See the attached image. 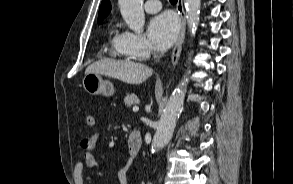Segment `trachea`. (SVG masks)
I'll return each mask as SVG.
<instances>
[{"label":"trachea","mask_w":293,"mask_h":184,"mask_svg":"<svg viewBox=\"0 0 293 184\" xmlns=\"http://www.w3.org/2000/svg\"><path fill=\"white\" fill-rule=\"evenodd\" d=\"M171 3H177V0H169Z\"/></svg>","instance_id":"trachea-1"}]
</instances>
